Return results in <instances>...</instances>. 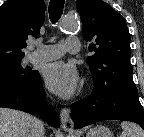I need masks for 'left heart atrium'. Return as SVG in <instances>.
Instances as JSON below:
<instances>
[{"mask_svg": "<svg viewBox=\"0 0 144 137\" xmlns=\"http://www.w3.org/2000/svg\"><path fill=\"white\" fill-rule=\"evenodd\" d=\"M45 81L51 92L66 99L76 92L79 74L75 65L60 61L47 66Z\"/></svg>", "mask_w": 144, "mask_h": 137, "instance_id": "1", "label": "left heart atrium"}]
</instances>
